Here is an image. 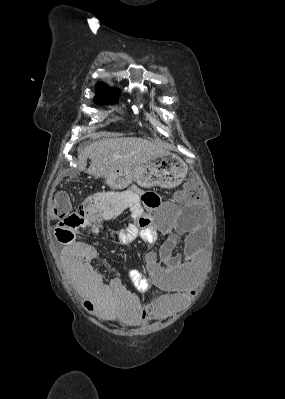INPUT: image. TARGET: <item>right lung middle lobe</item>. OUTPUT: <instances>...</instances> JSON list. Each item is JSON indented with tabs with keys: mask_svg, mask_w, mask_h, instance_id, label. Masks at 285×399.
I'll list each match as a JSON object with an SVG mask.
<instances>
[{
	"mask_svg": "<svg viewBox=\"0 0 285 399\" xmlns=\"http://www.w3.org/2000/svg\"><path fill=\"white\" fill-rule=\"evenodd\" d=\"M113 101H117V100H110V101H95L99 104H108L109 102H113Z\"/></svg>",
	"mask_w": 285,
	"mask_h": 399,
	"instance_id": "dd1d6c3e",
	"label": "right lung middle lobe"
}]
</instances>
